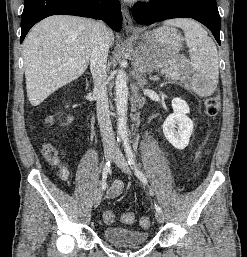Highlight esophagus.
<instances>
[{
    "mask_svg": "<svg viewBox=\"0 0 247 257\" xmlns=\"http://www.w3.org/2000/svg\"><path fill=\"white\" fill-rule=\"evenodd\" d=\"M122 14H123V27H124L125 31H127V32L136 31L137 28L134 26L131 14L126 7L122 8Z\"/></svg>",
    "mask_w": 247,
    "mask_h": 257,
    "instance_id": "obj_1",
    "label": "esophagus"
}]
</instances>
